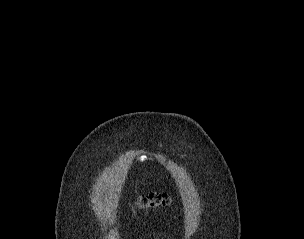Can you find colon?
Returning a JSON list of instances; mask_svg holds the SVG:
<instances>
[{
    "label": "colon",
    "instance_id": "1",
    "mask_svg": "<svg viewBox=\"0 0 304 239\" xmlns=\"http://www.w3.org/2000/svg\"><path fill=\"white\" fill-rule=\"evenodd\" d=\"M171 198L166 193L153 192L144 194L134 200V205L144 211L157 209L169 205Z\"/></svg>",
    "mask_w": 304,
    "mask_h": 239
}]
</instances>
